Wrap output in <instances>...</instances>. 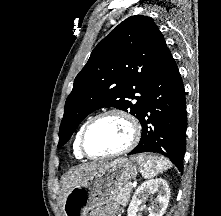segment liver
Here are the masks:
<instances>
[{"mask_svg":"<svg viewBox=\"0 0 221 216\" xmlns=\"http://www.w3.org/2000/svg\"><path fill=\"white\" fill-rule=\"evenodd\" d=\"M103 165L105 164L91 162L70 169L62 177L61 203L65 202L67 195L76 185Z\"/></svg>","mask_w":221,"mask_h":216,"instance_id":"6515ba94","label":"liver"}]
</instances>
